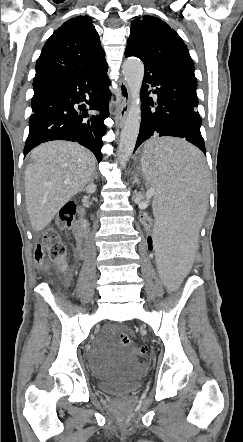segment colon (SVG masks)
<instances>
[{
    "label": "colon",
    "instance_id": "5ec220e1",
    "mask_svg": "<svg viewBox=\"0 0 243 442\" xmlns=\"http://www.w3.org/2000/svg\"><path fill=\"white\" fill-rule=\"evenodd\" d=\"M74 213H75V205L73 203H66L64 204L59 212V217L57 219V226L59 228H69L74 220ZM138 223H142L144 226V248L143 251L146 254L152 253L154 251V247L156 246L155 238L153 236H156L158 234V231L156 229H153L151 225H156L157 218L156 216H147L146 219L138 218ZM67 255V248L64 244L59 232L55 228H48L43 236L42 243L37 244L34 258L35 262L38 266L44 267L46 265V257L48 256L51 260L58 263L60 268L62 270L65 269V258ZM191 260L193 262L200 263L204 260V257L200 254H198L197 251H192L190 253ZM197 268H200V265H197ZM120 342L125 347H131L134 348L136 354L142 358L146 357L147 354V348L145 346H139L134 347L133 342L131 338L127 335L122 333L120 335ZM145 363L149 364L151 363V358L147 357L145 358Z\"/></svg>",
    "mask_w": 243,
    "mask_h": 442
}]
</instances>
